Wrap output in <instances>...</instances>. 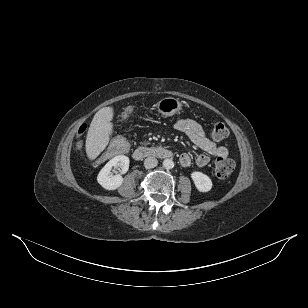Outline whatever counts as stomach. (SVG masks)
Masks as SVG:
<instances>
[{
	"label": "stomach",
	"mask_w": 308,
	"mask_h": 308,
	"mask_svg": "<svg viewBox=\"0 0 308 308\" xmlns=\"http://www.w3.org/2000/svg\"><path fill=\"white\" fill-rule=\"evenodd\" d=\"M182 109V103L173 97L161 99L157 103V110L163 116H172Z\"/></svg>",
	"instance_id": "0dacf381"
}]
</instances>
